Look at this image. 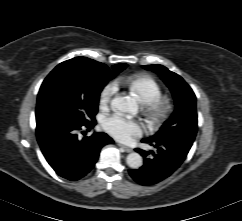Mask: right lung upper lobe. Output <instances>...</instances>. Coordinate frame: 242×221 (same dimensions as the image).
Listing matches in <instances>:
<instances>
[{
	"label": "right lung upper lobe",
	"instance_id": "obj_1",
	"mask_svg": "<svg viewBox=\"0 0 242 221\" xmlns=\"http://www.w3.org/2000/svg\"><path fill=\"white\" fill-rule=\"evenodd\" d=\"M97 63H100V62H97V61H94L92 59L85 58V57H76V58L67 60V61H65L61 64L81 67V66L94 65V64H97ZM116 66L117 65L112 66V70L111 69L110 70L114 71L116 69Z\"/></svg>",
	"mask_w": 242,
	"mask_h": 221
}]
</instances>
